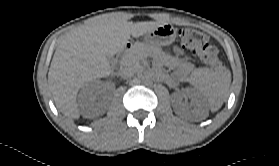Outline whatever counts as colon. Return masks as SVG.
I'll return each mask as SVG.
<instances>
[{
	"label": "colon",
	"mask_w": 279,
	"mask_h": 166,
	"mask_svg": "<svg viewBox=\"0 0 279 166\" xmlns=\"http://www.w3.org/2000/svg\"><path fill=\"white\" fill-rule=\"evenodd\" d=\"M179 37L183 47L202 63L216 71H223L224 68L218 57V51L204 33L196 29L184 28L179 31Z\"/></svg>",
	"instance_id": "colon-1"
}]
</instances>
